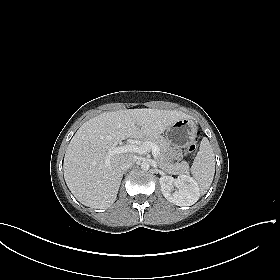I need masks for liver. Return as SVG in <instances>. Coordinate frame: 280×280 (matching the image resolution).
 Listing matches in <instances>:
<instances>
[{
    "instance_id": "obj_1",
    "label": "liver",
    "mask_w": 280,
    "mask_h": 280,
    "mask_svg": "<svg viewBox=\"0 0 280 280\" xmlns=\"http://www.w3.org/2000/svg\"><path fill=\"white\" fill-rule=\"evenodd\" d=\"M190 115L177 110L122 109L104 112L85 122L71 139L65 153L64 178L71 193L83 205L109 208L116 200L122 179V153L108 151L118 141L156 137L173 123ZM110 164L106 166L105 161Z\"/></svg>"
}]
</instances>
